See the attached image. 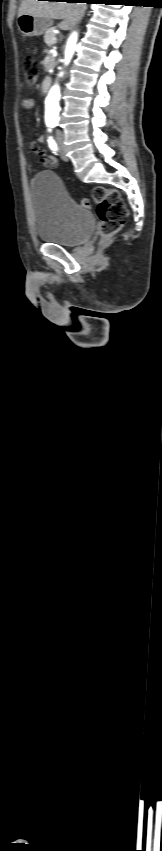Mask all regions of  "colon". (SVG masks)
Wrapping results in <instances>:
<instances>
[{
  "label": "colon",
  "mask_w": 162,
  "mask_h": 851,
  "mask_svg": "<svg viewBox=\"0 0 162 851\" xmlns=\"http://www.w3.org/2000/svg\"><path fill=\"white\" fill-rule=\"evenodd\" d=\"M38 77V68L30 59L24 61V79L28 88L34 87ZM92 202L96 205V212L101 221L100 231L104 239L117 233L124 225L127 218V208L119 192L112 188L97 186L92 190ZM92 202L83 199L81 204L90 208Z\"/></svg>",
  "instance_id": "5ec220e1"
}]
</instances>
